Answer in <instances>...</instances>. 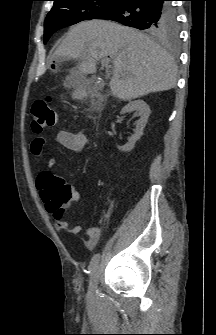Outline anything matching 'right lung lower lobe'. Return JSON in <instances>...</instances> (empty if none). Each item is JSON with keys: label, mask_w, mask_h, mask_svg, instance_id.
<instances>
[{"label": "right lung lower lobe", "mask_w": 216, "mask_h": 335, "mask_svg": "<svg viewBox=\"0 0 216 335\" xmlns=\"http://www.w3.org/2000/svg\"><path fill=\"white\" fill-rule=\"evenodd\" d=\"M167 0H117L95 19H106L154 34L167 24L175 25L176 15Z\"/></svg>", "instance_id": "1"}]
</instances>
